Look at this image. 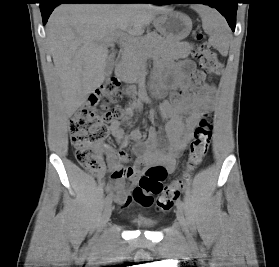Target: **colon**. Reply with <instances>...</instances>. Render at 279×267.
Listing matches in <instances>:
<instances>
[{"mask_svg":"<svg viewBox=\"0 0 279 267\" xmlns=\"http://www.w3.org/2000/svg\"><path fill=\"white\" fill-rule=\"evenodd\" d=\"M194 40L198 43L194 57L198 60L201 71L194 76L197 84H201L207 74L218 75L222 72V64L210 45L204 41V35L196 30ZM120 84L116 78H110L90 95L87 102L78 108L70 118L71 143L79 164L87 171L96 174L102 168L100 151L108 135V124L123 117L127 108L118 105L122 98ZM178 95L173 96L177 100ZM212 122L209 114H205L199 122L190 143L188 169L196 168L206 156L212 139ZM121 176H129L130 171L120 170ZM165 172L157 166L149 167L139 179L134 189L133 198L143 206L153 203V195H157L156 206L163 211L170 210L179 198L185 176L163 186Z\"/></svg>","mask_w":279,"mask_h":267,"instance_id":"1","label":"colon"}]
</instances>
